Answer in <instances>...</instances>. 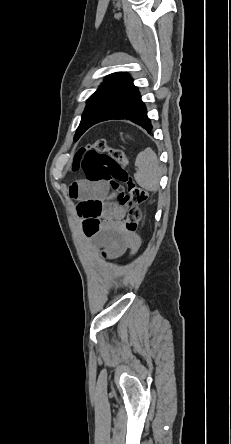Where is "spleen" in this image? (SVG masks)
<instances>
[{
  "label": "spleen",
  "mask_w": 231,
  "mask_h": 444,
  "mask_svg": "<svg viewBox=\"0 0 231 444\" xmlns=\"http://www.w3.org/2000/svg\"><path fill=\"white\" fill-rule=\"evenodd\" d=\"M136 182L148 191H157L161 178V167L156 153L151 148L141 151L135 160Z\"/></svg>",
  "instance_id": "3e777b00"
}]
</instances>
